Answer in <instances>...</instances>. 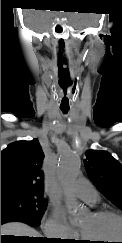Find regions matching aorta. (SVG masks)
Segmentation results:
<instances>
[{"instance_id": "1", "label": "aorta", "mask_w": 122, "mask_h": 243, "mask_svg": "<svg viewBox=\"0 0 122 243\" xmlns=\"http://www.w3.org/2000/svg\"><path fill=\"white\" fill-rule=\"evenodd\" d=\"M80 174V159L72 152H67L60 156L56 175L58 180L67 188L65 202L70 214L75 215L79 204L68 188L76 181Z\"/></svg>"}]
</instances>
